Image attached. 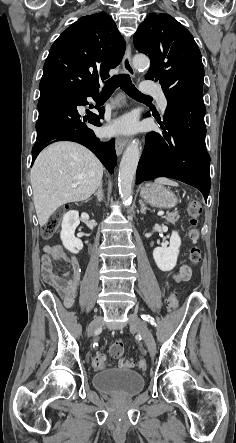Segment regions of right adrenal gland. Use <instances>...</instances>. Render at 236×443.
<instances>
[{"mask_svg": "<svg viewBox=\"0 0 236 443\" xmlns=\"http://www.w3.org/2000/svg\"><path fill=\"white\" fill-rule=\"evenodd\" d=\"M94 196L97 197L98 201L101 202L104 197V191H103V182L100 183L99 188L97 192L94 194Z\"/></svg>", "mask_w": 236, "mask_h": 443, "instance_id": "2a0ac1e0", "label": "right adrenal gland"}]
</instances>
